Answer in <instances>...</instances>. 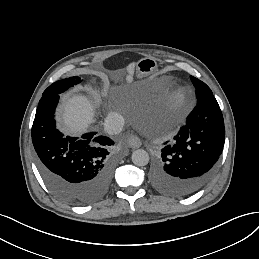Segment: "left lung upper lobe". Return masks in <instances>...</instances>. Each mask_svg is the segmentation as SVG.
Returning a JSON list of instances; mask_svg holds the SVG:
<instances>
[{"mask_svg":"<svg viewBox=\"0 0 259 259\" xmlns=\"http://www.w3.org/2000/svg\"><path fill=\"white\" fill-rule=\"evenodd\" d=\"M191 80L196 88L197 95H199L200 93H204V92H212L211 89L204 82L200 81L199 79L191 76Z\"/></svg>","mask_w":259,"mask_h":259,"instance_id":"obj_1","label":"left lung upper lobe"}]
</instances>
